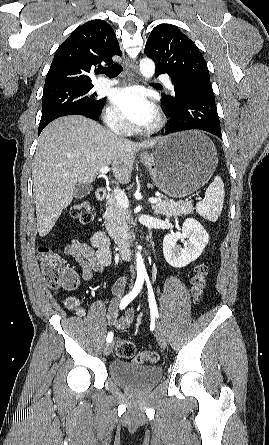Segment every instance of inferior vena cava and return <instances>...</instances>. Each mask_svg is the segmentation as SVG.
<instances>
[{"label": "inferior vena cava", "instance_id": "inferior-vena-cava-1", "mask_svg": "<svg viewBox=\"0 0 269 445\" xmlns=\"http://www.w3.org/2000/svg\"><path fill=\"white\" fill-rule=\"evenodd\" d=\"M118 122H119L118 123V127H119L120 130H122L123 129V122H124V120L123 119H119Z\"/></svg>", "mask_w": 269, "mask_h": 445}]
</instances>
